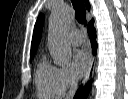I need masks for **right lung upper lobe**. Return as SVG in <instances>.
<instances>
[{"mask_svg": "<svg viewBox=\"0 0 128 99\" xmlns=\"http://www.w3.org/2000/svg\"><path fill=\"white\" fill-rule=\"evenodd\" d=\"M85 5H86V8L89 10L90 4H89L88 0H85ZM43 23H44V15L40 14L37 18V21H36V24L34 27L30 56H34L36 53L38 44H39L40 39H41Z\"/></svg>", "mask_w": 128, "mask_h": 99, "instance_id": "right-lung-upper-lobe-1", "label": "right lung upper lobe"}]
</instances>
